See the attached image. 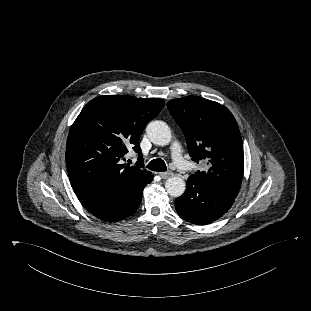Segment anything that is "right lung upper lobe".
<instances>
[{
  "mask_svg": "<svg viewBox=\"0 0 311 311\" xmlns=\"http://www.w3.org/2000/svg\"><path fill=\"white\" fill-rule=\"evenodd\" d=\"M159 98L96 97L88 102L71 126L66 144V166L76 194L129 197L153 177L143 169L139 137L164 107ZM132 148L136 166L123 164Z\"/></svg>",
  "mask_w": 311,
  "mask_h": 311,
  "instance_id": "obj_1",
  "label": "right lung upper lobe"
}]
</instances>
